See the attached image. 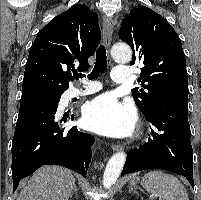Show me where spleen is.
Wrapping results in <instances>:
<instances>
[{
  "mask_svg": "<svg viewBox=\"0 0 201 200\" xmlns=\"http://www.w3.org/2000/svg\"><path fill=\"white\" fill-rule=\"evenodd\" d=\"M141 185L159 200H189L184 185L178 178L163 171H149L142 179Z\"/></svg>",
  "mask_w": 201,
  "mask_h": 200,
  "instance_id": "1",
  "label": "spleen"
}]
</instances>
